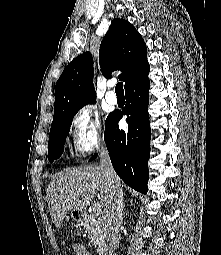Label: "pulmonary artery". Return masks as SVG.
<instances>
[{
    "instance_id": "1",
    "label": "pulmonary artery",
    "mask_w": 221,
    "mask_h": 255,
    "mask_svg": "<svg viewBox=\"0 0 221 255\" xmlns=\"http://www.w3.org/2000/svg\"><path fill=\"white\" fill-rule=\"evenodd\" d=\"M108 86L111 88V87L114 86V84H113V83H109ZM105 98H106V101H107L109 104H112V105L117 104L118 99H117V96L115 95V93H114L113 91H111V90L108 91V92L106 93Z\"/></svg>"
}]
</instances>
